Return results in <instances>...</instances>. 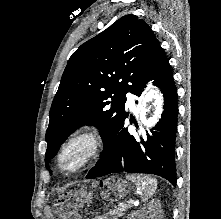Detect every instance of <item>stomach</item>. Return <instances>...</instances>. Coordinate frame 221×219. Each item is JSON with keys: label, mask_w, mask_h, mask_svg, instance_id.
Segmentation results:
<instances>
[{"label": "stomach", "mask_w": 221, "mask_h": 219, "mask_svg": "<svg viewBox=\"0 0 221 219\" xmlns=\"http://www.w3.org/2000/svg\"><path fill=\"white\" fill-rule=\"evenodd\" d=\"M96 183H101L99 191H104L102 194H96V190H59V195H63V199H122L125 195L123 186L124 182H120V178H96ZM110 183H113L112 186ZM96 187V185H93Z\"/></svg>", "instance_id": "0dacf381"}]
</instances>
